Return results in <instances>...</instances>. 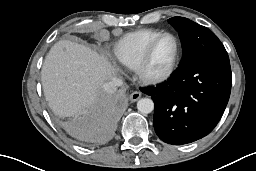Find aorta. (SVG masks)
Wrapping results in <instances>:
<instances>
[{"instance_id":"762f6f07","label":"aorta","mask_w":256,"mask_h":171,"mask_svg":"<svg viewBox=\"0 0 256 171\" xmlns=\"http://www.w3.org/2000/svg\"><path fill=\"white\" fill-rule=\"evenodd\" d=\"M137 109L142 114H149L154 110V103L150 98H142L137 102Z\"/></svg>"}]
</instances>
